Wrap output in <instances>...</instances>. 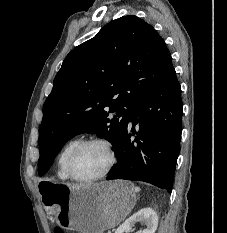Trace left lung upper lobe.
I'll list each match as a JSON object with an SVG mask.
<instances>
[{
    "label": "left lung upper lobe",
    "instance_id": "obj_1",
    "mask_svg": "<svg viewBox=\"0 0 227 233\" xmlns=\"http://www.w3.org/2000/svg\"><path fill=\"white\" fill-rule=\"evenodd\" d=\"M172 68L164 40L134 15L111 21L74 48L43 106L39 175L77 134L96 133L116 152L133 104L154 91Z\"/></svg>",
    "mask_w": 227,
    "mask_h": 233
}]
</instances>
